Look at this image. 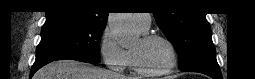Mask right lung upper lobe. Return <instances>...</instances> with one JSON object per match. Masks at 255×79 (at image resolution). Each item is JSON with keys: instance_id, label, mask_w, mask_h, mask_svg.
<instances>
[{"instance_id": "cb5924a9", "label": "right lung upper lobe", "mask_w": 255, "mask_h": 79, "mask_svg": "<svg viewBox=\"0 0 255 79\" xmlns=\"http://www.w3.org/2000/svg\"><path fill=\"white\" fill-rule=\"evenodd\" d=\"M46 12V22L70 21L105 26L108 12L98 0H56Z\"/></svg>"}]
</instances>
